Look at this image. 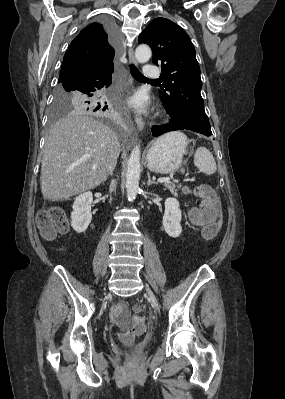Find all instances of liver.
Instances as JSON below:
<instances>
[{"instance_id": "obj_1", "label": "liver", "mask_w": 285, "mask_h": 399, "mask_svg": "<svg viewBox=\"0 0 285 399\" xmlns=\"http://www.w3.org/2000/svg\"><path fill=\"white\" fill-rule=\"evenodd\" d=\"M120 147L108 126L72 111L52 126L46 139L40 177L43 197L68 199L104 183L116 166Z\"/></svg>"}]
</instances>
